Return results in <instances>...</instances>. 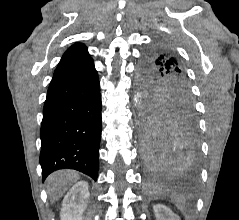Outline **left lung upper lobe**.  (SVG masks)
Instances as JSON below:
<instances>
[{
    "mask_svg": "<svg viewBox=\"0 0 239 220\" xmlns=\"http://www.w3.org/2000/svg\"><path fill=\"white\" fill-rule=\"evenodd\" d=\"M142 72L147 84L145 124L163 112L193 114V101L184 63L167 43L157 42L144 56Z\"/></svg>",
    "mask_w": 239,
    "mask_h": 220,
    "instance_id": "1",
    "label": "left lung upper lobe"
}]
</instances>
